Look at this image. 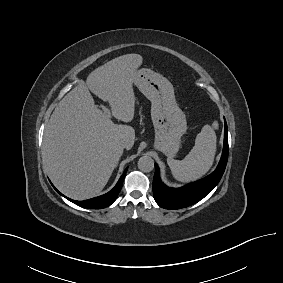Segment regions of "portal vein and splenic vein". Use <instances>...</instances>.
<instances>
[{"instance_id": "18ae733b", "label": "portal vein and splenic vein", "mask_w": 283, "mask_h": 283, "mask_svg": "<svg viewBox=\"0 0 283 283\" xmlns=\"http://www.w3.org/2000/svg\"><path fill=\"white\" fill-rule=\"evenodd\" d=\"M103 110H104V114L106 115L107 118H110L111 117V112L108 108L106 107H103Z\"/></svg>"}]
</instances>
